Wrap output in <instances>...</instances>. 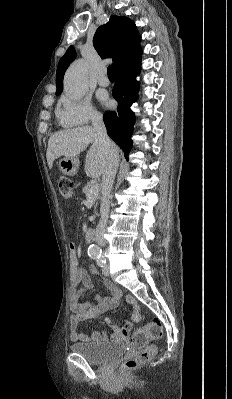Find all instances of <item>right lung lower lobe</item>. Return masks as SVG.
I'll return each instance as SVG.
<instances>
[{"label":"right lung lower lobe","mask_w":232,"mask_h":399,"mask_svg":"<svg viewBox=\"0 0 232 399\" xmlns=\"http://www.w3.org/2000/svg\"><path fill=\"white\" fill-rule=\"evenodd\" d=\"M140 61L141 56L115 70L116 83L112 93L118 102V108L117 112L104 114L107 134L123 149L127 160L132 147L131 135L135 123V115L130 106L137 100L139 83L135 78L140 71Z\"/></svg>","instance_id":"98d812e1"}]
</instances>
